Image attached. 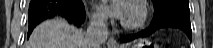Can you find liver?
<instances>
[{"mask_svg":"<svg viewBox=\"0 0 213 48\" xmlns=\"http://www.w3.org/2000/svg\"><path fill=\"white\" fill-rule=\"evenodd\" d=\"M87 46L85 34L61 18L38 25L25 43V48H88Z\"/></svg>","mask_w":213,"mask_h":48,"instance_id":"liver-1","label":"liver"}]
</instances>
